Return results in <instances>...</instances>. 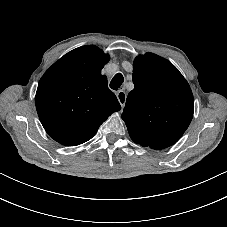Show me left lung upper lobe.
<instances>
[{
  "mask_svg": "<svg viewBox=\"0 0 227 227\" xmlns=\"http://www.w3.org/2000/svg\"><path fill=\"white\" fill-rule=\"evenodd\" d=\"M133 83L122 113L131 139L153 149L173 145L193 117L189 84L171 62L153 53L136 57Z\"/></svg>",
  "mask_w": 227,
  "mask_h": 227,
  "instance_id": "5c2ea615",
  "label": "left lung upper lobe"
}]
</instances>
